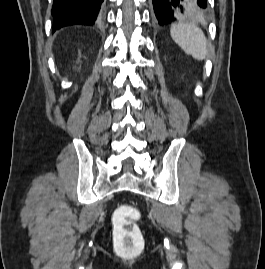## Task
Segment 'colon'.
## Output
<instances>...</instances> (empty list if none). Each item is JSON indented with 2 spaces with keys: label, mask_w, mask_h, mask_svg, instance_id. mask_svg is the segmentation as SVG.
Segmentation results:
<instances>
[{
  "label": "colon",
  "mask_w": 265,
  "mask_h": 269,
  "mask_svg": "<svg viewBox=\"0 0 265 269\" xmlns=\"http://www.w3.org/2000/svg\"><path fill=\"white\" fill-rule=\"evenodd\" d=\"M140 214L130 206L120 207L115 214L114 240L117 247L125 253H133L140 244L141 232L135 220Z\"/></svg>",
  "instance_id": "colon-1"
}]
</instances>
